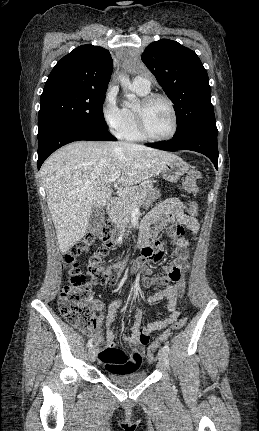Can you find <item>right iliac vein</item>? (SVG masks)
Here are the masks:
<instances>
[{
    "label": "right iliac vein",
    "mask_w": 259,
    "mask_h": 431,
    "mask_svg": "<svg viewBox=\"0 0 259 431\" xmlns=\"http://www.w3.org/2000/svg\"><path fill=\"white\" fill-rule=\"evenodd\" d=\"M97 358V349L95 346H91L89 349V359L91 362H94Z\"/></svg>",
    "instance_id": "63e3f726"
}]
</instances>
